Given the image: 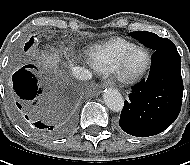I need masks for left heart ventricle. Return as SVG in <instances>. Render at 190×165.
I'll return each mask as SVG.
<instances>
[{
  "instance_id": "obj_1",
  "label": "left heart ventricle",
  "mask_w": 190,
  "mask_h": 165,
  "mask_svg": "<svg viewBox=\"0 0 190 165\" xmlns=\"http://www.w3.org/2000/svg\"><path fill=\"white\" fill-rule=\"evenodd\" d=\"M147 61V56L144 51H138L129 59L128 70L137 72L144 67Z\"/></svg>"
}]
</instances>
